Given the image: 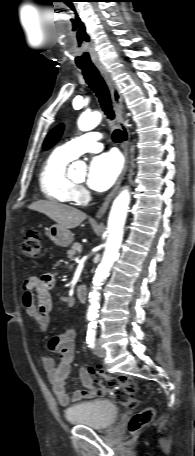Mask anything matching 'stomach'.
Returning <instances> with one entry per match:
<instances>
[{
  "instance_id": "1",
  "label": "stomach",
  "mask_w": 195,
  "mask_h": 456,
  "mask_svg": "<svg viewBox=\"0 0 195 456\" xmlns=\"http://www.w3.org/2000/svg\"><path fill=\"white\" fill-rule=\"evenodd\" d=\"M47 234L56 245L61 247H67L73 241V234L59 224L49 227Z\"/></svg>"
}]
</instances>
